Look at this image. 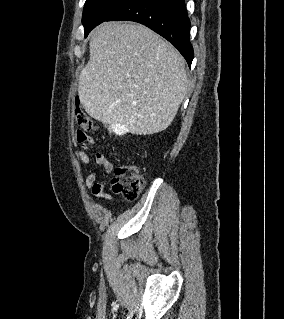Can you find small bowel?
I'll return each mask as SVG.
<instances>
[{
  "label": "small bowel",
  "mask_w": 284,
  "mask_h": 319,
  "mask_svg": "<svg viewBox=\"0 0 284 319\" xmlns=\"http://www.w3.org/2000/svg\"><path fill=\"white\" fill-rule=\"evenodd\" d=\"M76 142L80 145V149L77 151L78 159L85 164L93 162L96 166L102 167L105 174L110 173L113 170V164L102 153L91 154L89 152L91 146L94 144L93 138L87 135L85 132L78 130L75 134ZM86 186L92 192V194L105 201H111L112 197L105 192L106 180L98 179V175L95 170H91L86 178Z\"/></svg>",
  "instance_id": "obj_1"
}]
</instances>
